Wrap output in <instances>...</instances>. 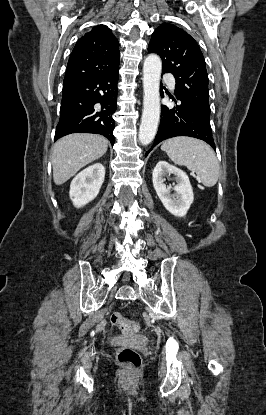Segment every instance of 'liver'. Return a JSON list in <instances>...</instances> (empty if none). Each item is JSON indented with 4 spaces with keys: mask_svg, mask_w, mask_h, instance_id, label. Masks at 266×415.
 Segmentation results:
<instances>
[{
    "mask_svg": "<svg viewBox=\"0 0 266 415\" xmlns=\"http://www.w3.org/2000/svg\"><path fill=\"white\" fill-rule=\"evenodd\" d=\"M108 140L100 135L75 133L59 139L52 148L53 179L61 185L81 168L103 156Z\"/></svg>",
    "mask_w": 266,
    "mask_h": 415,
    "instance_id": "obj_1",
    "label": "liver"
}]
</instances>
